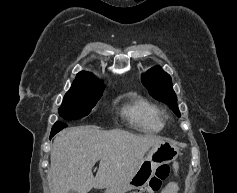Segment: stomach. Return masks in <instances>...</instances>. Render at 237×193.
<instances>
[{"instance_id":"stomach-1","label":"stomach","mask_w":237,"mask_h":193,"mask_svg":"<svg viewBox=\"0 0 237 193\" xmlns=\"http://www.w3.org/2000/svg\"><path fill=\"white\" fill-rule=\"evenodd\" d=\"M178 154L179 147L174 142L164 140L149 150L129 180L107 188L105 193H126L129 190L143 188L148 184L158 166L176 160Z\"/></svg>"}]
</instances>
